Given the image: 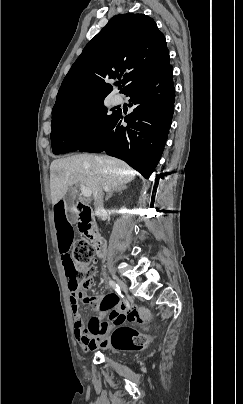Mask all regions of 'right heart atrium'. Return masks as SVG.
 <instances>
[{
	"label": "right heart atrium",
	"instance_id": "d8ad5b80",
	"mask_svg": "<svg viewBox=\"0 0 243 404\" xmlns=\"http://www.w3.org/2000/svg\"><path fill=\"white\" fill-rule=\"evenodd\" d=\"M90 121V116L85 114L83 116H81L78 120V126L80 128L86 127L89 124Z\"/></svg>",
	"mask_w": 243,
	"mask_h": 404
}]
</instances>
